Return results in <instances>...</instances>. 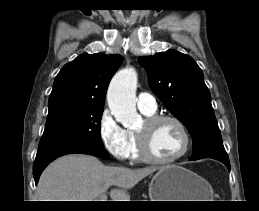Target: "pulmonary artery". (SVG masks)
<instances>
[{
	"mask_svg": "<svg viewBox=\"0 0 259 211\" xmlns=\"http://www.w3.org/2000/svg\"><path fill=\"white\" fill-rule=\"evenodd\" d=\"M137 107L141 112L154 113L157 108L155 97L146 92L139 93Z\"/></svg>",
	"mask_w": 259,
	"mask_h": 211,
	"instance_id": "1",
	"label": "pulmonary artery"
}]
</instances>
